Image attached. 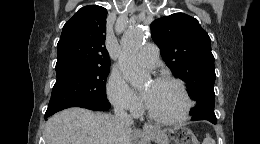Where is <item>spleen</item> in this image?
<instances>
[{"mask_svg": "<svg viewBox=\"0 0 260 144\" xmlns=\"http://www.w3.org/2000/svg\"><path fill=\"white\" fill-rule=\"evenodd\" d=\"M203 144H215V141L209 134H206V138L204 139Z\"/></svg>", "mask_w": 260, "mask_h": 144, "instance_id": "spleen-1", "label": "spleen"}]
</instances>
